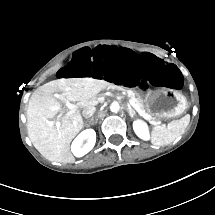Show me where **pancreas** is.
Returning a JSON list of instances; mask_svg holds the SVG:
<instances>
[{"instance_id":"pancreas-1","label":"pancreas","mask_w":215,"mask_h":215,"mask_svg":"<svg viewBox=\"0 0 215 215\" xmlns=\"http://www.w3.org/2000/svg\"><path fill=\"white\" fill-rule=\"evenodd\" d=\"M121 91H123V89H121ZM130 99H134L135 103L138 104V106L140 107V109L142 111L145 112V114H149L146 109H145V105H144V100L142 98H140V96L134 94L131 97H129ZM152 119V118H151Z\"/></svg>"}]
</instances>
